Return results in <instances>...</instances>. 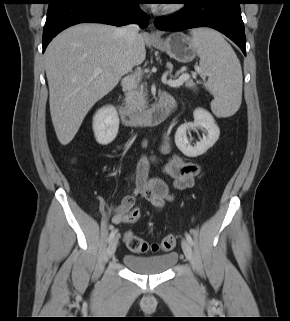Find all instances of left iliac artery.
<instances>
[{"label":"left iliac artery","mask_w":290,"mask_h":321,"mask_svg":"<svg viewBox=\"0 0 290 321\" xmlns=\"http://www.w3.org/2000/svg\"><path fill=\"white\" fill-rule=\"evenodd\" d=\"M185 236H186V239L188 240V242H189L190 244H193L192 237H191L188 233H186Z\"/></svg>","instance_id":"obj_1"}]
</instances>
